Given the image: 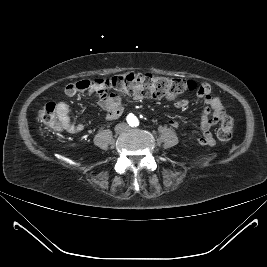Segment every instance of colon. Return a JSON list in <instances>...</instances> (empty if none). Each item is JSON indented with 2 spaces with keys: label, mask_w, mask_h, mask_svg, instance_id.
<instances>
[{
  "label": "colon",
  "mask_w": 267,
  "mask_h": 267,
  "mask_svg": "<svg viewBox=\"0 0 267 267\" xmlns=\"http://www.w3.org/2000/svg\"><path fill=\"white\" fill-rule=\"evenodd\" d=\"M82 88L95 93L98 99L115 94L136 98H167L172 100L186 92L198 90L199 86L191 80L130 72L105 80H86L83 82ZM39 117L45 128L60 130L55 103H47ZM232 135V119L229 116H224L217 130V137L221 142H228Z\"/></svg>",
  "instance_id": "obj_1"
}]
</instances>
